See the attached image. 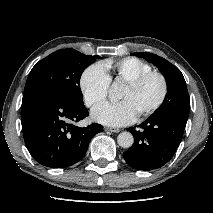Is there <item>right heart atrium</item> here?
<instances>
[{
    "label": "right heart atrium",
    "mask_w": 213,
    "mask_h": 213,
    "mask_svg": "<svg viewBox=\"0 0 213 213\" xmlns=\"http://www.w3.org/2000/svg\"><path fill=\"white\" fill-rule=\"evenodd\" d=\"M79 86L86 105L93 107L106 99L110 79L102 65L92 64L83 71Z\"/></svg>",
    "instance_id": "right-heart-atrium-1"
}]
</instances>
